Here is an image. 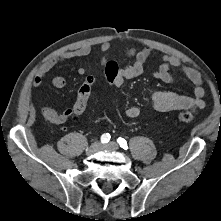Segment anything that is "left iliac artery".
<instances>
[{
  "mask_svg": "<svg viewBox=\"0 0 221 221\" xmlns=\"http://www.w3.org/2000/svg\"><path fill=\"white\" fill-rule=\"evenodd\" d=\"M117 142L119 143L120 147H122L123 149L127 150L128 146H127V141L121 137H119L117 139Z\"/></svg>",
  "mask_w": 221,
  "mask_h": 221,
  "instance_id": "left-iliac-artery-1",
  "label": "left iliac artery"
}]
</instances>
